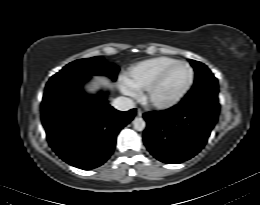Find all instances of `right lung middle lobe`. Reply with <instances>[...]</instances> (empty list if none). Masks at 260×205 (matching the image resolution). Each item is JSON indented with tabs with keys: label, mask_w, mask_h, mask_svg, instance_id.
<instances>
[{
	"label": "right lung middle lobe",
	"mask_w": 260,
	"mask_h": 205,
	"mask_svg": "<svg viewBox=\"0 0 260 205\" xmlns=\"http://www.w3.org/2000/svg\"><path fill=\"white\" fill-rule=\"evenodd\" d=\"M119 68L115 65L106 63L100 56L79 59L66 65L61 71L56 73L53 77L58 78L63 75H79V76H92V75H106L112 80L117 77Z\"/></svg>",
	"instance_id": "right-lung-middle-lobe-1"
}]
</instances>
